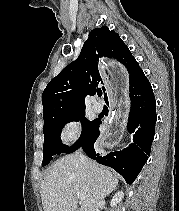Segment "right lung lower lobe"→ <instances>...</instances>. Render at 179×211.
<instances>
[{"mask_svg":"<svg viewBox=\"0 0 179 211\" xmlns=\"http://www.w3.org/2000/svg\"><path fill=\"white\" fill-rule=\"evenodd\" d=\"M129 100L127 130L132 134V142L126 148L107 155L96 154L94 143L100 134L101 120H97L91 135L80 147L90 158L112 167L132 184L150 155L157 119L156 100L142 69L129 80Z\"/></svg>","mask_w":179,"mask_h":211,"instance_id":"98d812e1","label":"right lung lower lobe"}]
</instances>
